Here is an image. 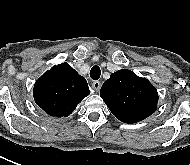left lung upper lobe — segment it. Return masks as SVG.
Returning <instances> with one entry per match:
<instances>
[{"instance_id": "obj_1", "label": "left lung upper lobe", "mask_w": 190, "mask_h": 165, "mask_svg": "<svg viewBox=\"0 0 190 165\" xmlns=\"http://www.w3.org/2000/svg\"><path fill=\"white\" fill-rule=\"evenodd\" d=\"M100 96L122 122L136 123L157 109L158 93L145 78L126 69L112 73L101 87Z\"/></svg>"}]
</instances>
